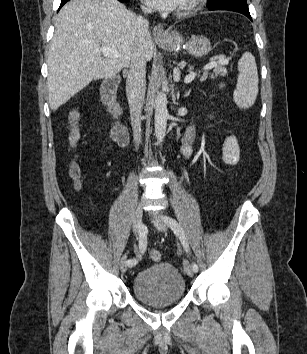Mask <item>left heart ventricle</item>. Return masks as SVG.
Instances as JSON below:
<instances>
[{
    "mask_svg": "<svg viewBox=\"0 0 307 354\" xmlns=\"http://www.w3.org/2000/svg\"><path fill=\"white\" fill-rule=\"evenodd\" d=\"M186 1H187V0H184V1H183V3H182V5H181V7H183V6H184V4L186 3Z\"/></svg>",
    "mask_w": 307,
    "mask_h": 354,
    "instance_id": "b2bd125f",
    "label": "left heart ventricle"
}]
</instances>
